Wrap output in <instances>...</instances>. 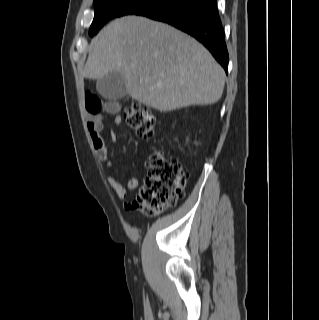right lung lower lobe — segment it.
<instances>
[{
    "instance_id": "98d812e1",
    "label": "right lung lower lobe",
    "mask_w": 319,
    "mask_h": 320,
    "mask_svg": "<svg viewBox=\"0 0 319 320\" xmlns=\"http://www.w3.org/2000/svg\"><path fill=\"white\" fill-rule=\"evenodd\" d=\"M138 15L166 22L190 34L228 70V52L216 0H168Z\"/></svg>"
}]
</instances>
